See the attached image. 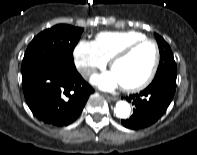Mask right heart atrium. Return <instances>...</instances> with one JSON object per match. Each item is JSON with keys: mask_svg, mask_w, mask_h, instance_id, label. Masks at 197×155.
Segmentation results:
<instances>
[{"mask_svg": "<svg viewBox=\"0 0 197 155\" xmlns=\"http://www.w3.org/2000/svg\"><path fill=\"white\" fill-rule=\"evenodd\" d=\"M73 56L77 70L85 78L90 77L96 69L104 68L108 62L92 40H80L74 48Z\"/></svg>", "mask_w": 197, "mask_h": 155, "instance_id": "d8ad5b80", "label": "right heart atrium"}]
</instances>
